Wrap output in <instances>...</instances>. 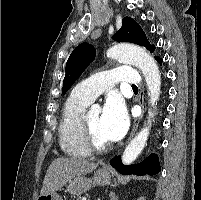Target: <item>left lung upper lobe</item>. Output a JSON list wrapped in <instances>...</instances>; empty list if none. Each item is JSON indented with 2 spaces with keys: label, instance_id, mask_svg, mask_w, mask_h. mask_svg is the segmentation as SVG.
<instances>
[{
  "label": "left lung upper lobe",
  "instance_id": "left-lung-upper-lobe-1",
  "mask_svg": "<svg viewBox=\"0 0 201 200\" xmlns=\"http://www.w3.org/2000/svg\"><path fill=\"white\" fill-rule=\"evenodd\" d=\"M115 41L131 42L145 46L153 52L154 45H150L140 25L130 17L123 18L122 27L112 36ZM96 50L93 45L82 43L78 45L66 63V74L63 81V94L74 84L82 72L94 60Z\"/></svg>",
  "mask_w": 201,
  "mask_h": 200
}]
</instances>
